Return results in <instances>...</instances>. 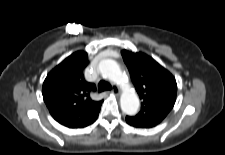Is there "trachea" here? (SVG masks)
Segmentation results:
<instances>
[{
  "instance_id": "obj_1",
  "label": "trachea",
  "mask_w": 225,
  "mask_h": 155,
  "mask_svg": "<svg viewBox=\"0 0 225 155\" xmlns=\"http://www.w3.org/2000/svg\"><path fill=\"white\" fill-rule=\"evenodd\" d=\"M98 90H99V92L111 90V85L108 82L102 80L98 84Z\"/></svg>"
}]
</instances>
